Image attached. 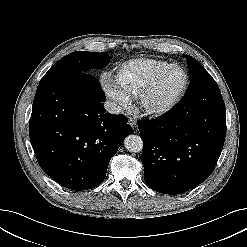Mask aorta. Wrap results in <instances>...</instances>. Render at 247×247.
Instances as JSON below:
<instances>
[{
	"label": "aorta",
	"instance_id": "aorta-1",
	"mask_svg": "<svg viewBox=\"0 0 247 247\" xmlns=\"http://www.w3.org/2000/svg\"><path fill=\"white\" fill-rule=\"evenodd\" d=\"M124 145L129 152L137 153L143 149V141L141 137L134 134L125 138Z\"/></svg>",
	"mask_w": 247,
	"mask_h": 247
}]
</instances>
